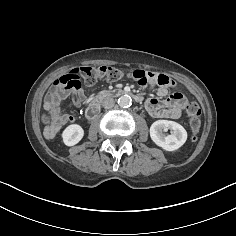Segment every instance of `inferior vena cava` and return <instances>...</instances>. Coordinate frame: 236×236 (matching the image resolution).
I'll use <instances>...</instances> for the list:
<instances>
[{
	"label": "inferior vena cava",
	"instance_id": "1",
	"mask_svg": "<svg viewBox=\"0 0 236 236\" xmlns=\"http://www.w3.org/2000/svg\"><path fill=\"white\" fill-rule=\"evenodd\" d=\"M114 105H115V101L111 97H107L102 101V106L105 109H110V108L114 107Z\"/></svg>",
	"mask_w": 236,
	"mask_h": 236
}]
</instances>
